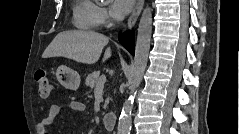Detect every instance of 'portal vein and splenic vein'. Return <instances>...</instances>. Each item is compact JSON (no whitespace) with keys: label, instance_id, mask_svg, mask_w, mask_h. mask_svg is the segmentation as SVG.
<instances>
[{"label":"portal vein and splenic vein","instance_id":"portal-vein-and-splenic-vein-1","mask_svg":"<svg viewBox=\"0 0 239 134\" xmlns=\"http://www.w3.org/2000/svg\"><path fill=\"white\" fill-rule=\"evenodd\" d=\"M105 82H106V77L103 75V76L100 77V80H99L98 84L96 85V87L97 88L103 87Z\"/></svg>","mask_w":239,"mask_h":134}]
</instances>
